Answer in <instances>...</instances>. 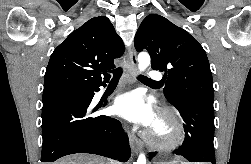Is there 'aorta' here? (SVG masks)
<instances>
[{"label": "aorta", "mask_w": 251, "mask_h": 164, "mask_svg": "<svg viewBox=\"0 0 251 164\" xmlns=\"http://www.w3.org/2000/svg\"><path fill=\"white\" fill-rule=\"evenodd\" d=\"M150 65V56L146 52H141L138 55V70L142 73ZM134 164H146V157L144 154H140L137 161Z\"/></svg>", "instance_id": "1"}]
</instances>
